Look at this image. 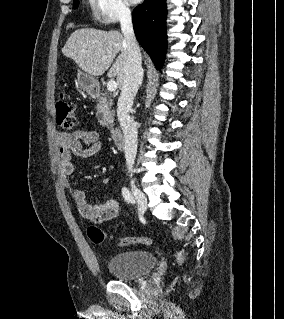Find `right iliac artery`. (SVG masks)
Listing matches in <instances>:
<instances>
[{"mask_svg": "<svg viewBox=\"0 0 284 319\" xmlns=\"http://www.w3.org/2000/svg\"><path fill=\"white\" fill-rule=\"evenodd\" d=\"M122 195H123L124 199L128 203H132L133 202V197H132L130 191L126 187L122 188Z\"/></svg>", "mask_w": 284, "mask_h": 319, "instance_id": "obj_1", "label": "right iliac artery"}]
</instances>
